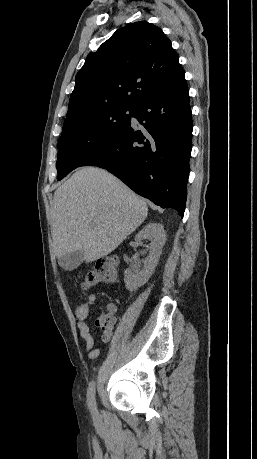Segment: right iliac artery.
I'll use <instances>...</instances> for the list:
<instances>
[{
  "mask_svg": "<svg viewBox=\"0 0 257 459\" xmlns=\"http://www.w3.org/2000/svg\"><path fill=\"white\" fill-rule=\"evenodd\" d=\"M88 406L92 413L96 412V401H95V382L92 381L89 384L87 391Z\"/></svg>",
  "mask_w": 257,
  "mask_h": 459,
  "instance_id": "82829eb1",
  "label": "right iliac artery"
}]
</instances>
